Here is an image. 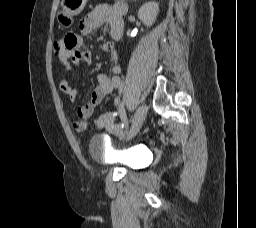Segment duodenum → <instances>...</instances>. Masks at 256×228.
Instances as JSON below:
<instances>
[{
	"label": "duodenum",
	"instance_id": "410a0bca",
	"mask_svg": "<svg viewBox=\"0 0 256 228\" xmlns=\"http://www.w3.org/2000/svg\"><path fill=\"white\" fill-rule=\"evenodd\" d=\"M115 38H119L120 37V32L118 30H115L113 33Z\"/></svg>",
	"mask_w": 256,
	"mask_h": 228
}]
</instances>
